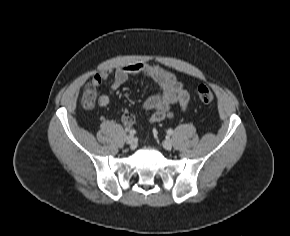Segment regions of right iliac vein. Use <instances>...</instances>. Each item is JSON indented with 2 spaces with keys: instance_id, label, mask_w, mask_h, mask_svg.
I'll return each instance as SVG.
<instances>
[{
  "instance_id": "1",
  "label": "right iliac vein",
  "mask_w": 290,
  "mask_h": 236,
  "mask_svg": "<svg viewBox=\"0 0 290 236\" xmlns=\"http://www.w3.org/2000/svg\"><path fill=\"white\" fill-rule=\"evenodd\" d=\"M125 142L130 145L131 148H135L136 146V140L133 135H127L125 137Z\"/></svg>"
}]
</instances>
